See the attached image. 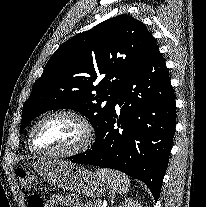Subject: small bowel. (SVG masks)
I'll return each mask as SVG.
<instances>
[{"label": "small bowel", "instance_id": "small-bowel-1", "mask_svg": "<svg viewBox=\"0 0 206 207\" xmlns=\"http://www.w3.org/2000/svg\"><path fill=\"white\" fill-rule=\"evenodd\" d=\"M58 205L80 207L78 199L73 196H54L48 201V207H57Z\"/></svg>", "mask_w": 206, "mask_h": 207}]
</instances>
